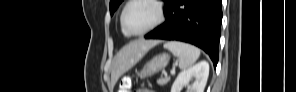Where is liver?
I'll return each mask as SVG.
<instances>
[{"instance_id": "liver-1", "label": "liver", "mask_w": 296, "mask_h": 92, "mask_svg": "<svg viewBox=\"0 0 296 92\" xmlns=\"http://www.w3.org/2000/svg\"><path fill=\"white\" fill-rule=\"evenodd\" d=\"M159 43L157 40H137L124 46L114 57L111 71V86L119 77L135 65L152 47Z\"/></svg>"}]
</instances>
